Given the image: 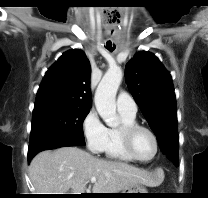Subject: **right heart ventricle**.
<instances>
[{
    "mask_svg": "<svg viewBox=\"0 0 208 198\" xmlns=\"http://www.w3.org/2000/svg\"><path fill=\"white\" fill-rule=\"evenodd\" d=\"M120 116L122 120L121 126L136 123V115L120 112ZM121 126L117 128H107V137L103 153L105 157L110 160L132 163L135 160L127 153L122 143L120 134Z\"/></svg>",
    "mask_w": 208,
    "mask_h": 198,
    "instance_id": "e07e8e85",
    "label": "right heart ventricle"
}]
</instances>
